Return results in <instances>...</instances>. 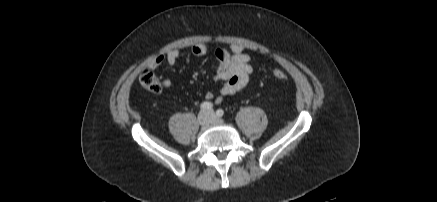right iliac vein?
Masks as SVG:
<instances>
[{"mask_svg":"<svg viewBox=\"0 0 437 202\" xmlns=\"http://www.w3.org/2000/svg\"><path fill=\"white\" fill-rule=\"evenodd\" d=\"M198 123L203 127L208 126L211 123L210 115L205 111H201L198 114Z\"/></svg>","mask_w":437,"mask_h":202,"instance_id":"obj_1","label":"right iliac vein"}]
</instances>
